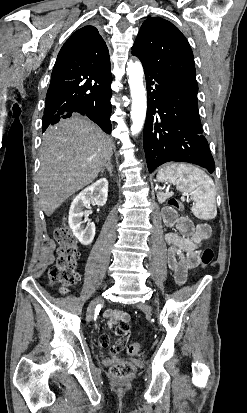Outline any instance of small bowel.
Instances as JSON below:
<instances>
[{"instance_id": "obj_1", "label": "small bowel", "mask_w": 247, "mask_h": 413, "mask_svg": "<svg viewBox=\"0 0 247 413\" xmlns=\"http://www.w3.org/2000/svg\"><path fill=\"white\" fill-rule=\"evenodd\" d=\"M164 224L169 228H176L178 232L172 231L165 235L168 248V266L174 274L175 283L183 285L187 280L188 272L200 263V251L203 242L211 235L210 226L207 223L193 224L185 217H178L176 212L169 207L163 210ZM110 328L115 327V336L118 338L114 342V353L119 349L129 347V338L132 335L131 317L128 313L119 310L109 309L104 312ZM109 337L105 331L96 336V341L101 349L110 347Z\"/></svg>"}]
</instances>
